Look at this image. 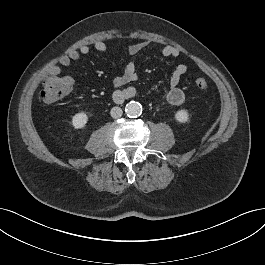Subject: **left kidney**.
I'll list each match as a JSON object with an SVG mask.
<instances>
[{"mask_svg":"<svg viewBox=\"0 0 265 265\" xmlns=\"http://www.w3.org/2000/svg\"><path fill=\"white\" fill-rule=\"evenodd\" d=\"M175 119L179 122V123H186L189 121V113L187 110L185 109H181L178 110L175 113Z\"/></svg>","mask_w":265,"mask_h":265,"instance_id":"left-kidney-1","label":"left kidney"}]
</instances>
